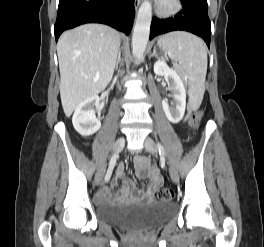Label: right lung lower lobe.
<instances>
[{"mask_svg": "<svg viewBox=\"0 0 264 247\" xmlns=\"http://www.w3.org/2000/svg\"><path fill=\"white\" fill-rule=\"evenodd\" d=\"M135 15L134 0H59L55 39L85 23H103L129 34Z\"/></svg>", "mask_w": 264, "mask_h": 247, "instance_id": "1", "label": "right lung lower lobe"}]
</instances>
